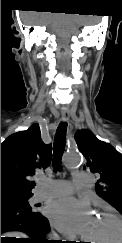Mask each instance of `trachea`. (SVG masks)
<instances>
[{
    "label": "trachea",
    "instance_id": "1",
    "mask_svg": "<svg viewBox=\"0 0 122 243\" xmlns=\"http://www.w3.org/2000/svg\"><path fill=\"white\" fill-rule=\"evenodd\" d=\"M67 124L61 123L57 128L53 147V168L55 171L61 170V159L66 145Z\"/></svg>",
    "mask_w": 122,
    "mask_h": 243
}]
</instances>
